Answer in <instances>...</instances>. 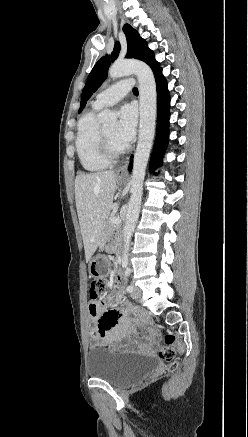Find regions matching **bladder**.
<instances>
[{
    "mask_svg": "<svg viewBox=\"0 0 248 437\" xmlns=\"http://www.w3.org/2000/svg\"><path fill=\"white\" fill-rule=\"evenodd\" d=\"M88 374L115 386H124L152 374L157 360L140 353H118L108 350H93L88 357Z\"/></svg>",
    "mask_w": 248,
    "mask_h": 437,
    "instance_id": "31cf9c89",
    "label": "bladder"
}]
</instances>
